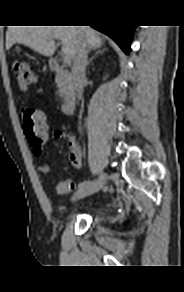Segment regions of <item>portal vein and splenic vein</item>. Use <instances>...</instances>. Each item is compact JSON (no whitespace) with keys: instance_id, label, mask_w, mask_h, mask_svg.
Masks as SVG:
<instances>
[{"instance_id":"18ae733b","label":"portal vein and splenic vein","mask_w":184,"mask_h":292,"mask_svg":"<svg viewBox=\"0 0 184 292\" xmlns=\"http://www.w3.org/2000/svg\"><path fill=\"white\" fill-rule=\"evenodd\" d=\"M70 63V60H69V58H68V56L67 55H63V64L64 65H67V64H69Z\"/></svg>"}]
</instances>
